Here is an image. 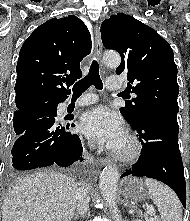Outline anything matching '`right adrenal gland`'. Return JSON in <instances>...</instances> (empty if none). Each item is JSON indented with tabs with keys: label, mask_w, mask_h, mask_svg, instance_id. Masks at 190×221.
Returning a JSON list of instances; mask_svg holds the SVG:
<instances>
[{
	"label": "right adrenal gland",
	"mask_w": 190,
	"mask_h": 221,
	"mask_svg": "<svg viewBox=\"0 0 190 221\" xmlns=\"http://www.w3.org/2000/svg\"><path fill=\"white\" fill-rule=\"evenodd\" d=\"M77 218H79V215H78V214H75V215L73 216V220H76Z\"/></svg>",
	"instance_id": "2a0ac1e0"
}]
</instances>
